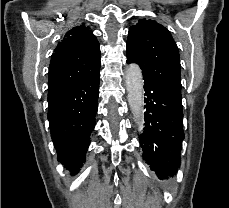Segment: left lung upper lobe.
<instances>
[{"label": "left lung upper lobe", "instance_id": "obj_1", "mask_svg": "<svg viewBox=\"0 0 229 208\" xmlns=\"http://www.w3.org/2000/svg\"><path fill=\"white\" fill-rule=\"evenodd\" d=\"M127 62L137 63L144 81L182 100L178 47L166 27L154 20H139L127 39Z\"/></svg>", "mask_w": 229, "mask_h": 208}]
</instances>
